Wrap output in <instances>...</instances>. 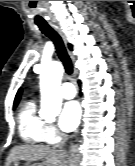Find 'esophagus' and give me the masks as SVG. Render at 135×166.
Returning <instances> with one entry per match:
<instances>
[{
	"mask_svg": "<svg viewBox=\"0 0 135 166\" xmlns=\"http://www.w3.org/2000/svg\"><path fill=\"white\" fill-rule=\"evenodd\" d=\"M52 25L56 28V30L60 33V35L63 36L61 30L57 26H55L54 24H52Z\"/></svg>",
	"mask_w": 135,
	"mask_h": 166,
	"instance_id": "esophagus-1",
	"label": "esophagus"
}]
</instances>
